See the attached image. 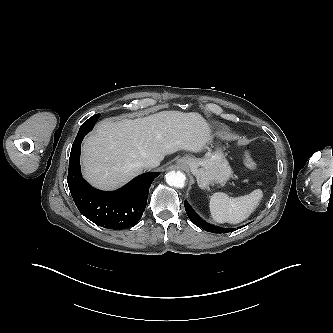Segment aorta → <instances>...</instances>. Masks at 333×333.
<instances>
[{
	"instance_id": "aorta-1",
	"label": "aorta",
	"mask_w": 333,
	"mask_h": 333,
	"mask_svg": "<svg viewBox=\"0 0 333 333\" xmlns=\"http://www.w3.org/2000/svg\"><path fill=\"white\" fill-rule=\"evenodd\" d=\"M186 177L181 172L170 171L166 174V182L170 186L183 188L185 186Z\"/></svg>"
}]
</instances>
